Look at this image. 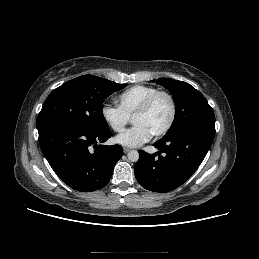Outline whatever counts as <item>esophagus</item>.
Masks as SVG:
<instances>
[{
	"mask_svg": "<svg viewBox=\"0 0 259 259\" xmlns=\"http://www.w3.org/2000/svg\"><path fill=\"white\" fill-rule=\"evenodd\" d=\"M123 151H124V153H128V152L130 151V149L127 148V147H124V148H123Z\"/></svg>",
	"mask_w": 259,
	"mask_h": 259,
	"instance_id": "1",
	"label": "esophagus"
}]
</instances>
